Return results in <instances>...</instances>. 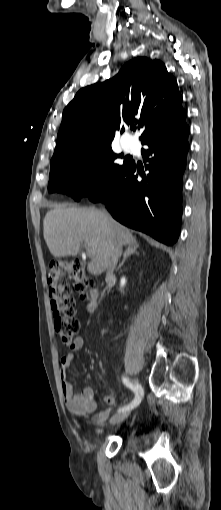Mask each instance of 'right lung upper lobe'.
I'll list each match as a JSON object with an SVG mask.
<instances>
[{"instance_id": "cb5924a9", "label": "right lung upper lobe", "mask_w": 221, "mask_h": 510, "mask_svg": "<svg viewBox=\"0 0 221 510\" xmlns=\"http://www.w3.org/2000/svg\"><path fill=\"white\" fill-rule=\"evenodd\" d=\"M176 80L159 60L138 57L102 83L80 89L63 111L53 164L81 148L111 145L124 125L144 127L140 140L185 122Z\"/></svg>"}]
</instances>
